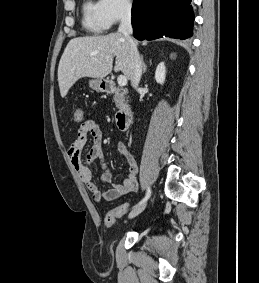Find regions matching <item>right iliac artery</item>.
I'll use <instances>...</instances> for the list:
<instances>
[{
  "label": "right iliac artery",
  "instance_id": "obj_1",
  "mask_svg": "<svg viewBox=\"0 0 259 283\" xmlns=\"http://www.w3.org/2000/svg\"><path fill=\"white\" fill-rule=\"evenodd\" d=\"M150 196H151V190H150L149 187H147V192H146L145 197L137 205H135L134 207H137L138 205H141V204L145 203L150 198Z\"/></svg>",
  "mask_w": 259,
  "mask_h": 283
}]
</instances>
